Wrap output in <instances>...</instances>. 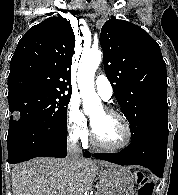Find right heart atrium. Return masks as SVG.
Listing matches in <instances>:
<instances>
[{
	"instance_id": "1",
	"label": "right heart atrium",
	"mask_w": 178,
	"mask_h": 195,
	"mask_svg": "<svg viewBox=\"0 0 178 195\" xmlns=\"http://www.w3.org/2000/svg\"><path fill=\"white\" fill-rule=\"evenodd\" d=\"M67 130L69 137L77 142L85 143L89 138L87 120L79 103L71 100L67 108Z\"/></svg>"
}]
</instances>
